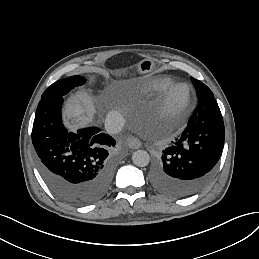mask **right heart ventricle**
Returning a JSON list of instances; mask_svg holds the SVG:
<instances>
[{
  "label": "right heart ventricle",
  "instance_id": "e07e8e85",
  "mask_svg": "<svg viewBox=\"0 0 259 259\" xmlns=\"http://www.w3.org/2000/svg\"><path fill=\"white\" fill-rule=\"evenodd\" d=\"M142 88L143 84L135 80L131 85L123 88L122 97L127 99L131 104H135L138 101L139 92Z\"/></svg>",
  "mask_w": 259,
  "mask_h": 259
}]
</instances>
